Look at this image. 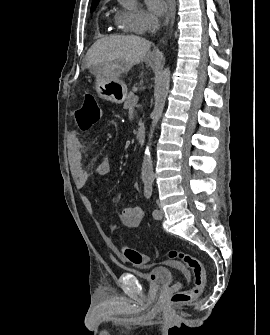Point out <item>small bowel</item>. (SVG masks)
Listing matches in <instances>:
<instances>
[{
  "instance_id": "c3829d8e",
  "label": "small bowel",
  "mask_w": 270,
  "mask_h": 335,
  "mask_svg": "<svg viewBox=\"0 0 270 335\" xmlns=\"http://www.w3.org/2000/svg\"><path fill=\"white\" fill-rule=\"evenodd\" d=\"M68 162L77 188L82 189L86 186L93 172L100 176H105L110 172V164L103 160L98 162L94 168L85 165L82 152V143L75 132L69 133L68 141ZM84 207L91 210L92 205L88 197H82ZM144 217L143 209L140 206H129L122 209L120 213V221L127 229L137 228ZM111 230H116L114 225L110 226Z\"/></svg>"
}]
</instances>
